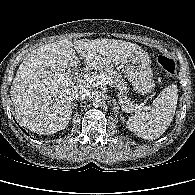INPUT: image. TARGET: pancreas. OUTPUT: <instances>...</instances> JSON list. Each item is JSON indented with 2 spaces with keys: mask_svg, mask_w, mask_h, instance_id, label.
Instances as JSON below:
<instances>
[{
  "mask_svg": "<svg viewBox=\"0 0 195 195\" xmlns=\"http://www.w3.org/2000/svg\"><path fill=\"white\" fill-rule=\"evenodd\" d=\"M100 74H105L112 79V84L118 90L119 100H120V102H122L124 107H126L130 111H132L131 110L132 108L139 106L137 103H135L134 101H131L128 98L127 84L125 82V79L123 78V76L119 72H117L113 69H101V70H98L96 72H93L90 75H100Z\"/></svg>",
  "mask_w": 195,
  "mask_h": 195,
  "instance_id": "obj_1",
  "label": "pancreas"
}]
</instances>
